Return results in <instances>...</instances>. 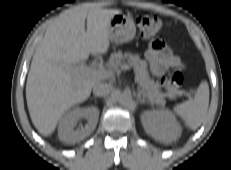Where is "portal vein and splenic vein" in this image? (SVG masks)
Returning a JSON list of instances; mask_svg holds the SVG:
<instances>
[{"label":"portal vein and splenic vein","mask_w":231,"mask_h":170,"mask_svg":"<svg viewBox=\"0 0 231 170\" xmlns=\"http://www.w3.org/2000/svg\"><path fill=\"white\" fill-rule=\"evenodd\" d=\"M75 70H79L80 72L84 73V74H90L93 75L97 78H112L114 76V72L112 70H107L103 67H98L95 69H90L88 66L86 65H80L78 67L74 68ZM122 70H128L129 66L127 64H124L121 66Z\"/></svg>","instance_id":"1"}]
</instances>
